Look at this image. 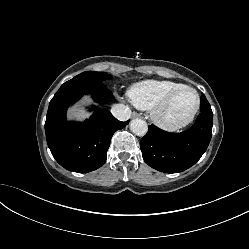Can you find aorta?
Wrapping results in <instances>:
<instances>
[{"label":"aorta","mask_w":249,"mask_h":249,"mask_svg":"<svg viewBox=\"0 0 249 249\" xmlns=\"http://www.w3.org/2000/svg\"><path fill=\"white\" fill-rule=\"evenodd\" d=\"M131 131L137 136H144L148 131L147 123L139 118H135L130 122Z\"/></svg>","instance_id":"obj_1"}]
</instances>
